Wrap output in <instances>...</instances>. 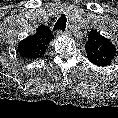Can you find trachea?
Instances as JSON below:
<instances>
[{"mask_svg":"<svg viewBox=\"0 0 118 118\" xmlns=\"http://www.w3.org/2000/svg\"><path fill=\"white\" fill-rule=\"evenodd\" d=\"M66 22H67L66 16L64 14L61 15V17L58 19V21L54 25V31L61 30L64 32L66 29Z\"/></svg>","mask_w":118,"mask_h":118,"instance_id":"trachea-1","label":"trachea"}]
</instances>
